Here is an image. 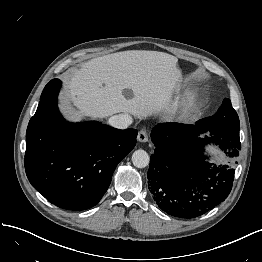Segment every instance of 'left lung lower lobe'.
Here are the masks:
<instances>
[{
	"label": "left lung lower lobe",
	"mask_w": 262,
	"mask_h": 262,
	"mask_svg": "<svg viewBox=\"0 0 262 262\" xmlns=\"http://www.w3.org/2000/svg\"><path fill=\"white\" fill-rule=\"evenodd\" d=\"M207 130L198 122L160 123L152 129L156 149L147 174L149 190L169 215L201 216L223 202L232 189L235 170L210 163L204 147L212 142L234 159L241 149L239 131L210 130L211 138H199Z\"/></svg>",
	"instance_id": "obj_1"
}]
</instances>
